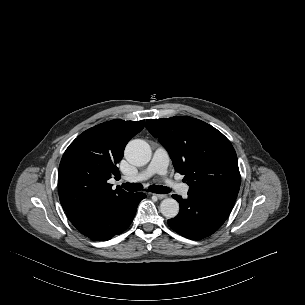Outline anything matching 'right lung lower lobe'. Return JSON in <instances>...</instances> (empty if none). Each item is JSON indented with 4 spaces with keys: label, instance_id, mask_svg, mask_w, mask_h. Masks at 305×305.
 <instances>
[{
    "label": "right lung lower lobe",
    "instance_id": "1",
    "mask_svg": "<svg viewBox=\"0 0 305 305\" xmlns=\"http://www.w3.org/2000/svg\"><path fill=\"white\" fill-rule=\"evenodd\" d=\"M144 193H127L103 204L91 206L81 213L67 215L83 235L92 240L106 241L126 230L135 216Z\"/></svg>",
    "mask_w": 305,
    "mask_h": 305
}]
</instances>
